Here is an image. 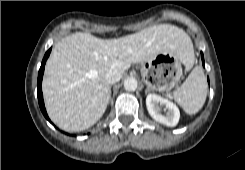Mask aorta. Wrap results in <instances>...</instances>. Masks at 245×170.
<instances>
[{
  "label": "aorta",
  "instance_id": "aorta-1",
  "mask_svg": "<svg viewBox=\"0 0 245 170\" xmlns=\"http://www.w3.org/2000/svg\"><path fill=\"white\" fill-rule=\"evenodd\" d=\"M138 82L134 77H128L124 81V88L127 91H134L137 89Z\"/></svg>",
  "mask_w": 245,
  "mask_h": 170
}]
</instances>
